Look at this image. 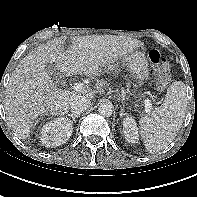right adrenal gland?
I'll return each mask as SVG.
<instances>
[{"mask_svg":"<svg viewBox=\"0 0 197 197\" xmlns=\"http://www.w3.org/2000/svg\"><path fill=\"white\" fill-rule=\"evenodd\" d=\"M68 116L71 117L73 121H75V119L78 118L80 115L68 114Z\"/></svg>","mask_w":197,"mask_h":197,"instance_id":"right-adrenal-gland-1","label":"right adrenal gland"}]
</instances>
